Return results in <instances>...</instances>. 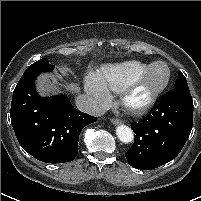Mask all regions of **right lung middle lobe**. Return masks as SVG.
Instances as JSON below:
<instances>
[{"instance_id":"right-lung-middle-lobe-1","label":"right lung middle lobe","mask_w":201,"mask_h":201,"mask_svg":"<svg viewBox=\"0 0 201 201\" xmlns=\"http://www.w3.org/2000/svg\"><path fill=\"white\" fill-rule=\"evenodd\" d=\"M49 64L48 59L44 58V59H40L39 61L33 63L32 65H30L31 67H36V66H41V65H46Z\"/></svg>"}]
</instances>
